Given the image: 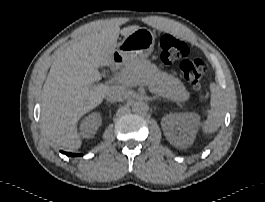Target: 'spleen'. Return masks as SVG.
Segmentation results:
<instances>
[{
	"mask_svg": "<svg viewBox=\"0 0 265 202\" xmlns=\"http://www.w3.org/2000/svg\"><path fill=\"white\" fill-rule=\"evenodd\" d=\"M211 108L208 111L207 119L202 123V131L205 133L216 132L224 119L223 97L219 87L215 83H211Z\"/></svg>",
	"mask_w": 265,
	"mask_h": 202,
	"instance_id": "3e777b00",
	"label": "spleen"
}]
</instances>
